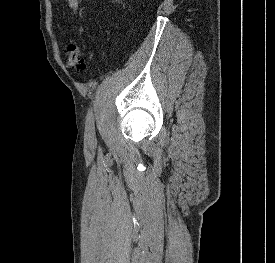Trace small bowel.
I'll list each match as a JSON object with an SVG mask.
<instances>
[{
    "mask_svg": "<svg viewBox=\"0 0 275 263\" xmlns=\"http://www.w3.org/2000/svg\"><path fill=\"white\" fill-rule=\"evenodd\" d=\"M70 8L73 10V13L76 14L79 8V0H68Z\"/></svg>",
    "mask_w": 275,
    "mask_h": 263,
    "instance_id": "obj_1",
    "label": "small bowel"
}]
</instances>
